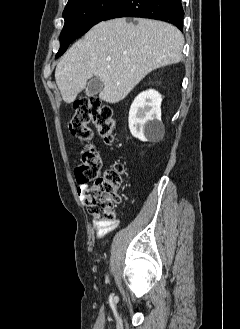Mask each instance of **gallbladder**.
Returning a JSON list of instances; mask_svg holds the SVG:
<instances>
[{
    "instance_id": "gallbladder-1",
    "label": "gallbladder",
    "mask_w": 240,
    "mask_h": 329,
    "mask_svg": "<svg viewBox=\"0 0 240 329\" xmlns=\"http://www.w3.org/2000/svg\"><path fill=\"white\" fill-rule=\"evenodd\" d=\"M102 89H103L102 81L99 78L95 77L88 81L85 88V94L86 96L91 97L100 93Z\"/></svg>"
}]
</instances>
